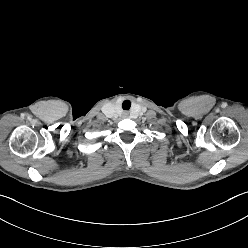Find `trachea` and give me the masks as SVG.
Returning <instances> with one entry per match:
<instances>
[{
    "label": "trachea",
    "instance_id": "3493384b",
    "mask_svg": "<svg viewBox=\"0 0 248 248\" xmlns=\"http://www.w3.org/2000/svg\"><path fill=\"white\" fill-rule=\"evenodd\" d=\"M131 107V102L129 100H125L123 103H122V108L124 110H129Z\"/></svg>",
    "mask_w": 248,
    "mask_h": 248
}]
</instances>
